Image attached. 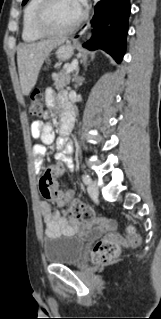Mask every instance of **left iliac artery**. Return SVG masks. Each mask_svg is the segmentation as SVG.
<instances>
[{
    "instance_id": "left-iliac-artery-1",
    "label": "left iliac artery",
    "mask_w": 161,
    "mask_h": 319,
    "mask_svg": "<svg viewBox=\"0 0 161 319\" xmlns=\"http://www.w3.org/2000/svg\"><path fill=\"white\" fill-rule=\"evenodd\" d=\"M82 180L85 184H89L91 182V178L87 174L82 175Z\"/></svg>"
}]
</instances>
